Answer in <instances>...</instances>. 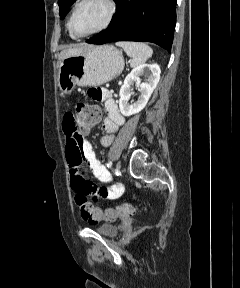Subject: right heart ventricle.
<instances>
[{
    "label": "right heart ventricle",
    "mask_w": 240,
    "mask_h": 288,
    "mask_svg": "<svg viewBox=\"0 0 240 288\" xmlns=\"http://www.w3.org/2000/svg\"><path fill=\"white\" fill-rule=\"evenodd\" d=\"M68 26V31H69V35H70V37L71 38H73V39H75L76 37L70 32V30H69V25H67Z\"/></svg>",
    "instance_id": "e07e8e85"
}]
</instances>
